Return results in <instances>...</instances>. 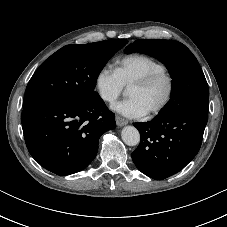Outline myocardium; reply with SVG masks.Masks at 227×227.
<instances>
[{"instance_id": "myocardium-1", "label": "myocardium", "mask_w": 227, "mask_h": 227, "mask_svg": "<svg viewBox=\"0 0 227 227\" xmlns=\"http://www.w3.org/2000/svg\"><path fill=\"white\" fill-rule=\"evenodd\" d=\"M159 78H166V80L168 81V91L162 103L152 111L146 113V115L149 117H154L161 114L170 104L175 90V79L173 75L167 69L158 70L135 80L129 85V88L130 87L143 88L149 86Z\"/></svg>"}]
</instances>
